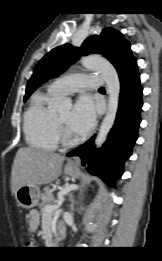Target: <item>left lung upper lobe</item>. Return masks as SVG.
I'll list each match as a JSON object with an SVG mask.
<instances>
[{"instance_id":"5c2ea615","label":"left lung upper lobe","mask_w":162,"mask_h":261,"mask_svg":"<svg viewBox=\"0 0 162 261\" xmlns=\"http://www.w3.org/2000/svg\"><path fill=\"white\" fill-rule=\"evenodd\" d=\"M102 53L116 68L121 71L126 65L135 61L129 43L123 35L112 29L105 28L99 36L87 38L81 48L64 44L52 49L37 64L34 73L27 83L24 102L41 84L60 75L66 67L76 62L81 55Z\"/></svg>"}]
</instances>
